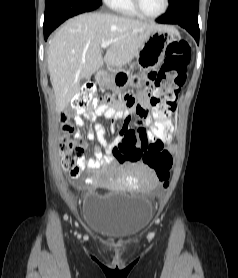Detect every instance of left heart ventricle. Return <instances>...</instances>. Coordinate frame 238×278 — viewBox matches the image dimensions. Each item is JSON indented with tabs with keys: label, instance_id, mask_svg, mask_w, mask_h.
I'll return each instance as SVG.
<instances>
[{
	"label": "left heart ventricle",
	"instance_id": "1",
	"mask_svg": "<svg viewBox=\"0 0 238 278\" xmlns=\"http://www.w3.org/2000/svg\"><path fill=\"white\" fill-rule=\"evenodd\" d=\"M142 9L149 15L159 14L164 7V0H140Z\"/></svg>",
	"mask_w": 238,
	"mask_h": 278
}]
</instances>
